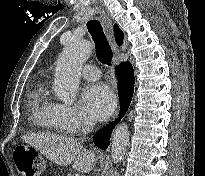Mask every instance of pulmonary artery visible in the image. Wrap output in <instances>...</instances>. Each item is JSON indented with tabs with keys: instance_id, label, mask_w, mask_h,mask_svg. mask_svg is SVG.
<instances>
[{
	"instance_id": "pulmonary-artery-1",
	"label": "pulmonary artery",
	"mask_w": 205,
	"mask_h": 176,
	"mask_svg": "<svg viewBox=\"0 0 205 176\" xmlns=\"http://www.w3.org/2000/svg\"><path fill=\"white\" fill-rule=\"evenodd\" d=\"M80 74L83 78L90 80V81H96L100 78L99 69L92 65L83 66L80 70Z\"/></svg>"
}]
</instances>
